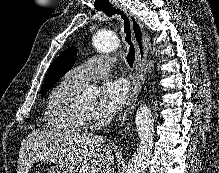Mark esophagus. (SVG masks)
Here are the masks:
<instances>
[{"mask_svg":"<svg viewBox=\"0 0 219 173\" xmlns=\"http://www.w3.org/2000/svg\"><path fill=\"white\" fill-rule=\"evenodd\" d=\"M114 6L123 11L128 17L132 34L136 48V73L131 85L130 96L126 104V109L123 116L120 119L119 131L123 132L128 127V116L133 112L136 107L139 90L144 80V67L146 65L147 53H148V35L144 30L140 21L136 16L130 12L128 8L120 3H115Z\"/></svg>","mask_w":219,"mask_h":173,"instance_id":"esophagus-1","label":"esophagus"}]
</instances>
